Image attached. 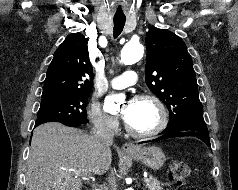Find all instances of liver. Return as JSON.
I'll list each match as a JSON object with an SVG mask.
<instances>
[{"instance_id": "liver-1", "label": "liver", "mask_w": 238, "mask_h": 190, "mask_svg": "<svg viewBox=\"0 0 238 190\" xmlns=\"http://www.w3.org/2000/svg\"><path fill=\"white\" fill-rule=\"evenodd\" d=\"M111 162L110 148L99 149L92 135L61 123H45L33 132L26 190H81L84 177L102 175Z\"/></svg>"}]
</instances>
